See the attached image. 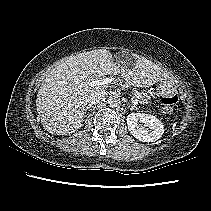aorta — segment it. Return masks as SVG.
Masks as SVG:
<instances>
[{
  "instance_id": "obj_1",
  "label": "aorta",
  "mask_w": 211,
  "mask_h": 211,
  "mask_svg": "<svg viewBox=\"0 0 211 211\" xmlns=\"http://www.w3.org/2000/svg\"><path fill=\"white\" fill-rule=\"evenodd\" d=\"M120 103V99L117 96H110L108 99V104L110 107H117Z\"/></svg>"
}]
</instances>
